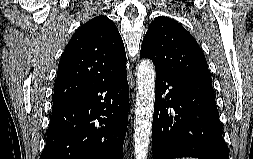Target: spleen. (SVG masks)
<instances>
[{"mask_svg": "<svg viewBox=\"0 0 253 159\" xmlns=\"http://www.w3.org/2000/svg\"><path fill=\"white\" fill-rule=\"evenodd\" d=\"M178 159H179V158H178ZM180 159H195V158H188V157H187V158H180Z\"/></svg>", "mask_w": 253, "mask_h": 159, "instance_id": "spleen-1", "label": "spleen"}]
</instances>
